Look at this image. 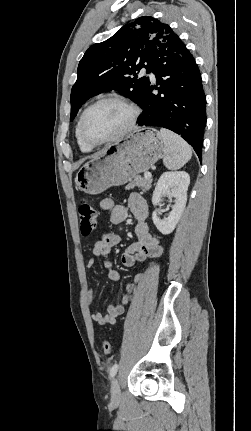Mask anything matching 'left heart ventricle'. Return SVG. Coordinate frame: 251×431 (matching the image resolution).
Wrapping results in <instances>:
<instances>
[{
  "label": "left heart ventricle",
  "instance_id": "obj_1",
  "mask_svg": "<svg viewBox=\"0 0 251 431\" xmlns=\"http://www.w3.org/2000/svg\"><path fill=\"white\" fill-rule=\"evenodd\" d=\"M130 111L116 102H105L90 111L85 120V134L101 141L121 131L128 123Z\"/></svg>",
  "mask_w": 251,
  "mask_h": 431
}]
</instances>
